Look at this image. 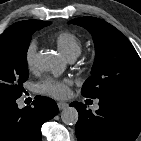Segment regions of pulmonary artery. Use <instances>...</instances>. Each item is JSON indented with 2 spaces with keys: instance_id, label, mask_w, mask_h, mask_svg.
Here are the masks:
<instances>
[{
  "instance_id": "1",
  "label": "pulmonary artery",
  "mask_w": 141,
  "mask_h": 141,
  "mask_svg": "<svg viewBox=\"0 0 141 141\" xmlns=\"http://www.w3.org/2000/svg\"><path fill=\"white\" fill-rule=\"evenodd\" d=\"M69 61H73V60H69ZM95 108H98V105H95Z\"/></svg>"
}]
</instances>
